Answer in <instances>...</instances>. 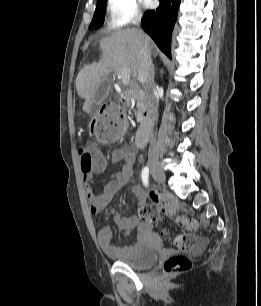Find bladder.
I'll list each match as a JSON object with an SVG mask.
<instances>
[{
    "mask_svg": "<svg viewBox=\"0 0 261 306\" xmlns=\"http://www.w3.org/2000/svg\"><path fill=\"white\" fill-rule=\"evenodd\" d=\"M160 243L152 241V237L138 239L132 246L128 256L117 257V262L133 269H146L154 265L159 257Z\"/></svg>",
    "mask_w": 261,
    "mask_h": 306,
    "instance_id": "31cf9c89",
    "label": "bladder"
}]
</instances>
